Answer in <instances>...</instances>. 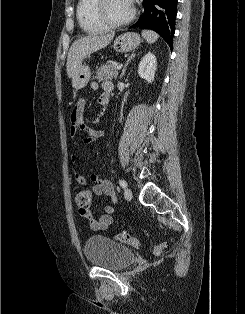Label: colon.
I'll return each instance as SVG.
<instances>
[{
	"label": "colon",
	"mask_w": 245,
	"mask_h": 314,
	"mask_svg": "<svg viewBox=\"0 0 245 314\" xmlns=\"http://www.w3.org/2000/svg\"><path fill=\"white\" fill-rule=\"evenodd\" d=\"M75 203L80 214H85L89 211L91 205V192L89 190H81L75 196ZM115 240L129 244L133 247H139L138 238L134 237L126 231H121L115 235ZM165 247L164 243L154 245L152 252L154 255H160Z\"/></svg>",
	"instance_id": "colon-1"
}]
</instances>
